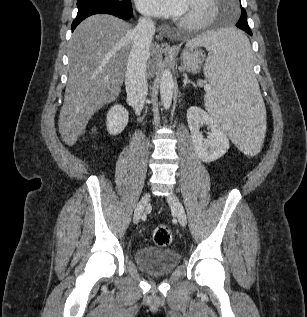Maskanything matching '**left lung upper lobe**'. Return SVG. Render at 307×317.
I'll list each match as a JSON object with an SVG mask.
<instances>
[{
    "label": "left lung upper lobe",
    "instance_id": "1",
    "mask_svg": "<svg viewBox=\"0 0 307 317\" xmlns=\"http://www.w3.org/2000/svg\"><path fill=\"white\" fill-rule=\"evenodd\" d=\"M245 23L248 24V22H247V13H246L245 9L241 6V16H240L236 26L240 28Z\"/></svg>",
    "mask_w": 307,
    "mask_h": 317
}]
</instances>
